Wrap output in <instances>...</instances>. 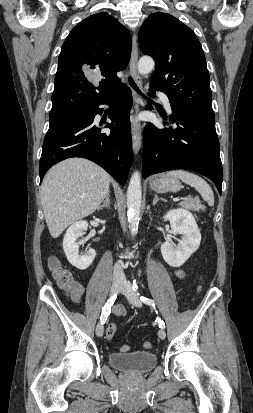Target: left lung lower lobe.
Returning a JSON list of instances; mask_svg holds the SVG:
<instances>
[{
    "label": "left lung lower lobe",
    "instance_id": "0a47b994",
    "mask_svg": "<svg viewBox=\"0 0 253 413\" xmlns=\"http://www.w3.org/2000/svg\"><path fill=\"white\" fill-rule=\"evenodd\" d=\"M159 90L151 84L149 95ZM151 110V106H147ZM175 126L163 130L148 123L145 127L142 163L144 178L173 169H188L210 178L219 193L223 171L215 121L191 113H173Z\"/></svg>",
    "mask_w": 253,
    "mask_h": 413
}]
</instances>
